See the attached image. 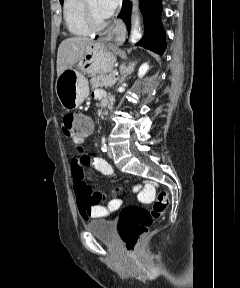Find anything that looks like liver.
<instances>
[{
    "mask_svg": "<svg viewBox=\"0 0 240 288\" xmlns=\"http://www.w3.org/2000/svg\"><path fill=\"white\" fill-rule=\"evenodd\" d=\"M95 41L88 37H70L61 42L57 54V76L76 64Z\"/></svg>",
    "mask_w": 240,
    "mask_h": 288,
    "instance_id": "6515ba94",
    "label": "liver"
}]
</instances>
